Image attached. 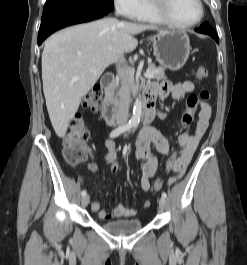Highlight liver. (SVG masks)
<instances>
[{"instance_id": "obj_1", "label": "liver", "mask_w": 247, "mask_h": 265, "mask_svg": "<svg viewBox=\"0 0 247 265\" xmlns=\"http://www.w3.org/2000/svg\"><path fill=\"white\" fill-rule=\"evenodd\" d=\"M146 30L158 31L151 25L104 18L68 27L46 40L42 52L43 92L57 136H65L81 98L108 65L134 51L138 45L134 35ZM74 76L79 79L73 81Z\"/></svg>"}]
</instances>
